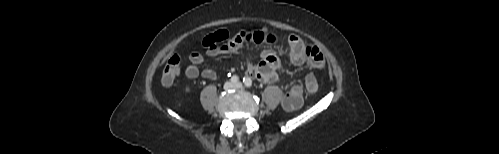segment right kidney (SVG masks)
I'll list each match as a JSON object with an SVG mask.
<instances>
[{"label":"right kidney","instance_id":"ca27d5eb","mask_svg":"<svg viewBox=\"0 0 499 154\" xmlns=\"http://www.w3.org/2000/svg\"><path fill=\"white\" fill-rule=\"evenodd\" d=\"M184 91H185V93H189L191 91V89L189 86H187Z\"/></svg>","mask_w":499,"mask_h":154}]
</instances>
